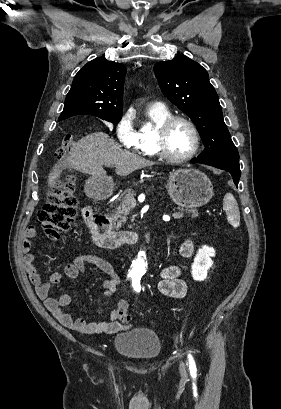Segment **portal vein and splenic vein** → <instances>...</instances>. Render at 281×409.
<instances>
[{
    "instance_id": "1",
    "label": "portal vein and splenic vein",
    "mask_w": 281,
    "mask_h": 409,
    "mask_svg": "<svg viewBox=\"0 0 281 409\" xmlns=\"http://www.w3.org/2000/svg\"><path fill=\"white\" fill-rule=\"evenodd\" d=\"M104 164L105 166H110L108 162H104ZM135 202H136V197L131 195L127 198L126 205L131 208L135 205ZM184 216H186V213L184 212H175L173 215L174 219H181V217H184Z\"/></svg>"
}]
</instances>
